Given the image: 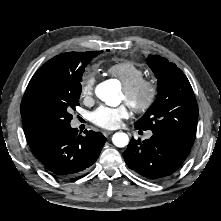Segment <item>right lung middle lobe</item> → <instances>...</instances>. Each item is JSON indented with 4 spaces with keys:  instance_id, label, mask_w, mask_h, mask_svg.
<instances>
[{
    "instance_id": "obj_1",
    "label": "right lung middle lobe",
    "mask_w": 221,
    "mask_h": 221,
    "mask_svg": "<svg viewBox=\"0 0 221 221\" xmlns=\"http://www.w3.org/2000/svg\"><path fill=\"white\" fill-rule=\"evenodd\" d=\"M100 53L101 51H92L83 55L72 75L50 76L37 88L33 96V110L47 127L56 130L70 125V112L79 105L84 68Z\"/></svg>"
}]
</instances>
